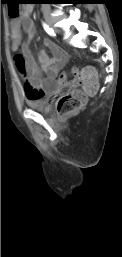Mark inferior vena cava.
<instances>
[{"mask_svg":"<svg viewBox=\"0 0 122 257\" xmlns=\"http://www.w3.org/2000/svg\"><path fill=\"white\" fill-rule=\"evenodd\" d=\"M42 9H49V4H42Z\"/></svg>","mask_w":122,"mask_h":257,"instance_id":"inferior-vena-cava-1","label":"inferior vena cava"}]
</instances>
